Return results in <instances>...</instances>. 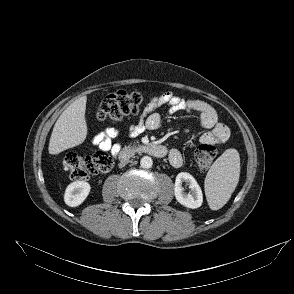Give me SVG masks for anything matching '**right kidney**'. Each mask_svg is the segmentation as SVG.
<instances>
[{
  "mask_svg": "<svg viewBox=\"0 0 294 294\" xmlns=\"http://www.w3.org/2000/svg\"><path fill=\"white\" fill-rule=\"evenodd\" d=\"M91 186L86 181H75L70 183L64 194V201L70 207L79 206L90 193Z\"/></svg>",
  "mask_w": 294,
  "mask_h": 294,
  "instance_id": "1",
  "label": "right kidney"
}]
</instances>
